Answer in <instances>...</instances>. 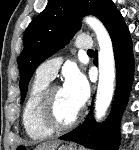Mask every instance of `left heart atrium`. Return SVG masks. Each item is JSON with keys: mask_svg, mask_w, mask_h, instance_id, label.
I'll return each instance as SVG.
<instances>
[{"mask_svg": "<svg viewBox=\"0 0 139 150\" xmlns=\"http://www.w3.org/2000/svg\"><path fill=\"white\" fill-rule=\"evenodd\" d=\"M63 89L79 108H81L88 99V82L84 75L78 70H71L67 73Z\"/></svg>", "mask_w": 139, "mask_h": 150, "instance_id": "39dd6f15", "label": "left heart atrium"}]
</instances>
